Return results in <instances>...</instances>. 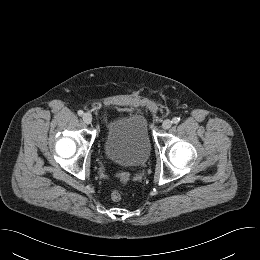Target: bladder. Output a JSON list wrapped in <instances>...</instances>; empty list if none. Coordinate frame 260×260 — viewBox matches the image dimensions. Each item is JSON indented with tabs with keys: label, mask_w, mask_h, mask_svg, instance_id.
Here are the masks:
<instances>
[{
	"label": "bladder",
	"mask_w": 260,
	"mask_h": 260,
	"mask_svg": "<svg viewBox=\"0 0 260 260\" xmlns=\"http://www.w3.org/2000/svg\"><path fill=\"white\" fill-rule=\"evenodd\" d=\"M105 157L120 166L140 167L149 159L151 142L145 118L136 113L120 114L106 128Z\"/></svg>",
	"instance_id": "1"
}]
</instances>
